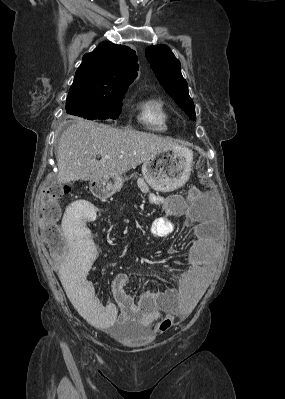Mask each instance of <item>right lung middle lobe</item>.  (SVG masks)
Wrapping results in <instances>:
<instances>
[{
  "instance_id": "1",
  "label": "right lung middle lobe",
  "mask_w": 285,
  "mask_h": 399,
  "mask_svg": "<svg viewBox=\"0 0 285 399\" xmlns=\"http://www.w3.org/2000/svg\"><path fill=\"white\" fill-rule=\"evenodd\" d=\"M126 91L111 96L68 95L66 112L89 120L117 119Z\"/></svg>"
}]
</instances>
